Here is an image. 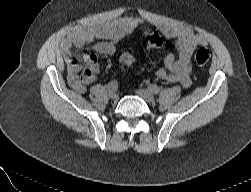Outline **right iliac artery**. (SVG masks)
Returning <instances> with one entry per match:
<instances>
[{"instance_id": "82829eb1", "label": "right iliac artery", "mask_w": 251, "mask_h": 192, "mask_svg": "<svg viewBox=\"0 0 251 192\" xmlns=\"http://www.w3.org/2000/svg\"><path fill=\"white\" fill-rule=\"evenodd\" d=\"M106 89L110 91H116L118 89V82L116 80L111 81L106 85Z\"/></svg>"}]
</instances>
